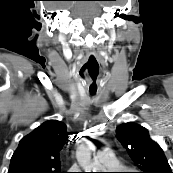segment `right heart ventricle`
<instances>
[{
  "instance_id": "1",
  "label": "right heart ventricle",
  "mask_w": 173,
  "mask_h": 173,
  "mask_svg": "<svg viewBox=\"0 0 173 173\" xmlns=\"http://www.w3.org/2000/svg\"><path fill=\"white\" fill-rule=\"evenodd\" d=\"M113 168L120 169V168H122V165L119 162H116V164Z\"/></svg>"
}]
</instances>
